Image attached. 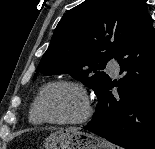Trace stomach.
<instances>
[{
  "mask_svg": "<svg viewBox=\"0 0 155 149\" xmlns=\"http://www.w3.org/2000/svg\"><path fill=\"white\" fill-rule=\"evenodd\" d=\"M45 149H113L104 139L74 128L60 129L49 135Z\"/></svg>",
  "mask_w": 155,
  "mask_h": 149,
  "instance_id": "obj_1",
  "label": "stomach"
}]
</instances>
